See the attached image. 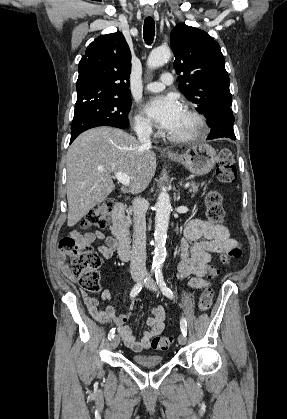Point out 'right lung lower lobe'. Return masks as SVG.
<instances>
[{"label": "right lung lower lobe", "instance_id": "98d812e1", "mask_svg": "<svg viewBox=\"0 0 287 419\" xmlns=\"http://www.w3.org/2000/svg\"><path fill=\"white\" fill-rule=\"evenodd\" d=\"M78 136V135H77ZM77 136H75V137H71V140H70V142H72Z\"/></svg>", "mask_w": 287, "mask_h": 419}]
</instances>
